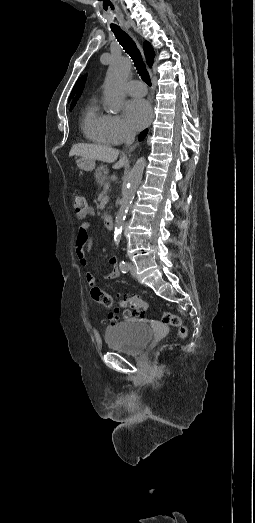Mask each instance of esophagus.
<instances>
[{
  "mask_svg": "<svg viewBox=\"0 0 255 523\" xmlns=\"http://www.w3.org/2000/svg\"><path fill=\"white\" fill-rule=\"evenodd\" d=\"M138 46H139L141 52L143 53V50H142V47L140 46V44H138ZM144 58H145V57H144ZM151 116H154V112H153V110H151ZM134 148H135V146L131 147L129 151H133Z\"/></svg>",
  "mask_w": 255,
  "mask_h": 523,
  "instance_id": "1",
  "label": "esophagus"
}]
</instances>
